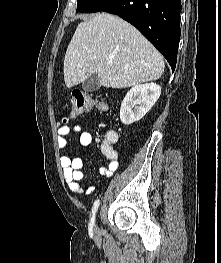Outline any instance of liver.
Listing matches in <instances>:
<instances>
[{"label":"liver","mask_w":221,"mask_h":263,"mask_svg":"<svg viewBox=\"0 0 221 263\" xmlns=\"http://www.w3.org/2000/svg\"><path fill=\"white\" fill-rule=\"evenodd\" d=\"M164 67L162 55L135 27L99 13L76 28L64 58V81L71 88L96 73L102 86L120 89L155 81Z\"/></svg>","instance_id":"liver-1"}]
</instances>
